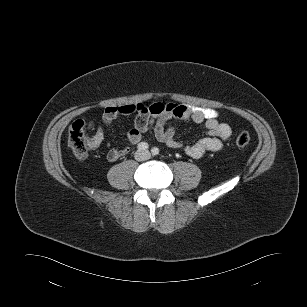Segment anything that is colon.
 <instances>
[{"mask_svg":"<svg viewBox=\"0 0 307 307\" xmlns=\"http://www.w3.org/2000/svg\"><path fill=\"white\" fill-rule=\"evenodd\" d=\"M90 130L91 124L83 120L75 121L69 129L68 143L78 158H85L92 149ZM234 142L238 147H245L250 142V136L246 132H241L236 135Z\"/></svg>","mask_w":307,"mask_h":307,"instance_id":"obj_1","label":"colon"}]
</instances>
